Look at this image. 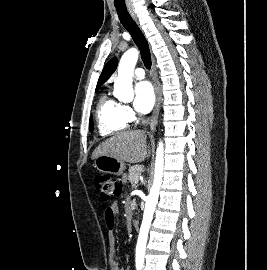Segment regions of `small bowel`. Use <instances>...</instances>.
<instances>
[{"label":"small bowel","instance_id":"c3829d8e","mask_svg":"<svg viewBox=\"0 0 267 270\" xmlns=\"http://www.w3.org/2000/svg\"><path fill=\"white\" fill-rule=\"evenodd\" d=\"M117 214H118L117 204H111L110 206L107 207L105 211V219L110 228L112 227L115 216ZM108 242L110 245V252H111L110 265L112 270H124V268L120 265L119 261L116 258V246H115L116 239L112 231H109L108 233Z\"/></svg>","mask_w":267,"mask_h":270}]
</instances>
